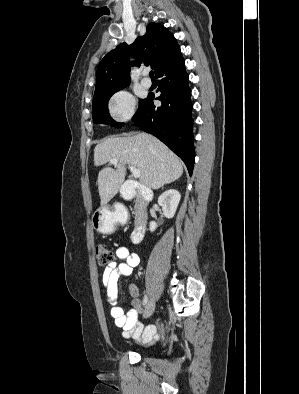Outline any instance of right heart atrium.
Masks as SVG:
<instances>
[{"instance_id":"right-heart-atrium-1","label":"right heart atrium","mask_w":299,"mask_h":394,"mask_svg":"<svg viewBox=\"0 0 299 394\" xmlns=\"http://www.w3.org/2000/svg\"><path fill=\"white\" fill-rule=\"evenodd\" d=\"M135 107L136 100L127 90L116 92L110 100L111 114L118 122L130 120L135 113Z\"/></svg>"}]
</instances>
